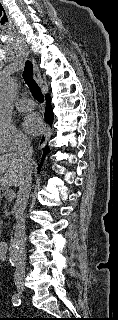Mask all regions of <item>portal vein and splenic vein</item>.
<instances>
[{
	"mask_svg": "<svg viewBox=\"0 0 118 320\" xmlns=\"http://www.w3.org/2000/svg\"><path fill=\"white\" fill-rule=\"evenodd\" d=\"M6 199H12L14 197V191L12 189H6L3 193Z\"/></svg>",
	"mask_w": 118,
	"mask_h": 320,
	"instance_id": "obj_1",
	"label": "portal vein and splenic vein"
}]
</instances>
